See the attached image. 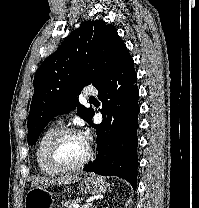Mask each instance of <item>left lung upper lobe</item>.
<instances>
[{
  "label": "left lung upper lobe",
  "mask_w": 199,
  "mask_h": 208,
  "mask_svg": "<svg viewBox=\"0 0 199 208\" xmlns=\"http://www.w3.org/2000/svg\"><path fill=\"white\" fill-rule=\"evenodd\" d=\"M130 54L112 25L85 21L38 68L28 116V144L56 115L77 108L91 121L93 109L79 105L77 96L89 84L98 87Z\"/></svg>",
  "instance_id": "5c2ea615"
}]
</instances>
